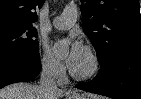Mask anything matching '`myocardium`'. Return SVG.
Masks as SVG:
<instances>
[{"label": "myocardium", "instance_id": "f54148a6", "mask_svg": "<svg viewBox=\"0 0 141 99\" xmlns=\"http://www.w3.org/2000/svg\"><path fill=\"white\" fill-rule=\"evenodd\" d=\"M85 52L90 59V68L85 72H78L73 68H70V74L77 80H89L94 78L100 71L101 62L98 53L91 46H85Z\"/></svg>", "mask_w": 141, "mask_h": 99}]
</instances>
